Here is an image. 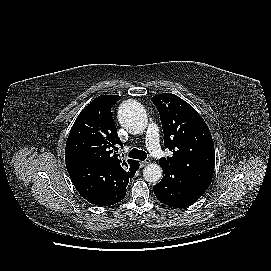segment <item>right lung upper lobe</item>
Returning a JSON list of instances; mask_svg holds the SVG:
<instances>
[{"label": "right lung upper lobe", "mask_w": 271, "mask_h": 271, "mask_svg": "<svg viewBox=\"0 0 271 271\" xmlns=\"http://www.w3.org/2000/svg\"><path fill=\"white\" fill-rule=\"evenodd\" d=\"M117 95H102L88 104L75 120L66 142L65 161L72 158L88 160L130 174L138 161L122 163L116 151L123 143L117 135L111 108L120 100Z\"/></svg>", "instance_id": "right-lung-upper-lobe-1"}]
</instances>
